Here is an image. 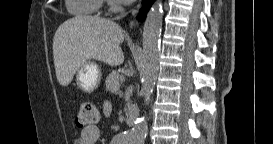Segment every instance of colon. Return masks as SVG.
I'll return each instance as SVG.
<instances>
[{"label":"colon","mask_w":273,"mask_h":144,"mask_svg":"<svg viewBox=\"0 0 273 144\" xmlns=\"http://www.w3.org/2000/svg\"><path fill=\"white\" fill-rule=\"evenodd\" d=\"M98 110L95 104L91 101H84L79 107L75 123L80 129L93 126L98 120Z\"/></svg>","instance_id":"5ec220e1"}]
</instances>
